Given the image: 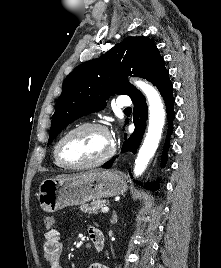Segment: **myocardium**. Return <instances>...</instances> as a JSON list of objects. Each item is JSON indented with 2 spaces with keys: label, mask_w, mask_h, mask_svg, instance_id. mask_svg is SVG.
<instances>
[{
  "label": "myocardium",
  "mask_w": 221,
  "mask_h": 268,
  "mask_svg": "<svg viewBox=\"0 0 221 268\" xmlns=\"http://www.w3.org/2000/svg\"><path fill=\"white\" fill-rule=\"evenodd\" d=\"M84 129H99V130L104 131L105 133H107L110 136L108 128L105 125L97 123V122H87V123H82V124L75 126L71 130L66 132L58 140V142L56 143L55 148H54V158L62 167L69 168V169H83V168L95 167V166H99V165L107 162L108 160H110L114 156L116 149H115L114 143L112 142V146H111L110 150L104 156H102L96 160L84 162V163H70V162L65 161L62 158L61 153H60V149H61L63 142L68 137H70L72 134H74L80 130H84Z\"/></svg>",
  "instance_id": "myocardium-1"
}]
</instances>
